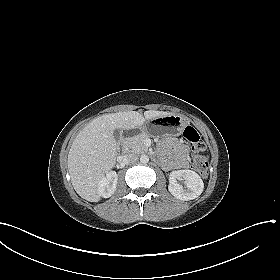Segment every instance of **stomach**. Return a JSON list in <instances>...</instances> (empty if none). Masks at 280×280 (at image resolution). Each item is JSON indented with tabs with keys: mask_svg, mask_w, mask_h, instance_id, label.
<instances>
[{
	"mask_svg": "<svg viewBox=\"0 0 280 280\" xmlns=\"http://www.w3.org/2000/svg\"><path fill=\"white\" fill-rule=\"evenodd\" d=\"M185 126L186 120L182 116L171 114L147 121L140 129L143 132H154L160 129L169 135L178 136Z\"/></svg>",
	"mask_w": 280,
	"mask_h": 280,
	"instance_id": "1",
	"label": "stomach"
}]
</instances>
